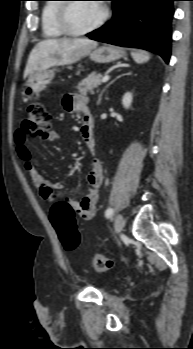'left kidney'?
Returning <instances> with one entry per match:
<instances>
[{
    "instance_id": "1",
    "label": "left kidney",
    "mask_w": 193,
    "mask_h": 349,
    "mask_svg": "<svg viewBox=\"0 0 193 349\" xmlns=\"http://www.w3.org/2000/svg\"><path fill=\"white\" fill-rule=\"evenodd\" d=\"M132 94L130 92H127L124 94L123 98H122V104L124 106L125 109H129V107L131 106L132 103Z\"/></svg>"
}]
</instances>
